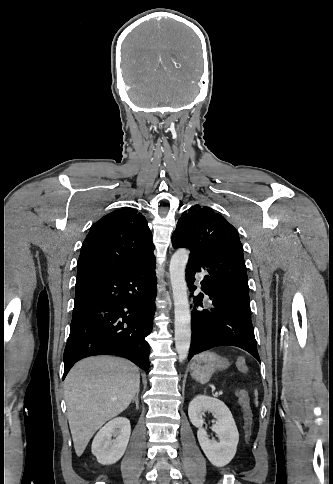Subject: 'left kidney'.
Returning <instances> with one entry per match:
<instances>
[{
	"mask_svg": "<svg viewBox=\"0 0 333 484\" xmlns=\"http://www.w3.org/2000/svg\"><path fill=\"white\" fill-rule=\"evenodd\" d=\"M207 411L217 419L213 431L219 435V442L210 440L203 428V415ZM188 415L191 423L198 428V441L208 460L216 467L227 465L235 456L239 441V433L228 407L217 398L198 395L190 402Z\"/></svg>",
	"mask_w": 333,
	"mask_h": 484,
	"instance_id": "5707ae66",
	"label": "left kidney"
}]
</instances>
